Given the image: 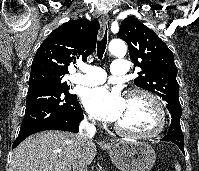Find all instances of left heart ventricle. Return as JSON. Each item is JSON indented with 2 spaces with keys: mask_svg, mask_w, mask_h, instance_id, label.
Here are the masks:
<instances>
[{
  "mask_svg": "<svg viewBox=\"0 0 199 171\" xmlns=\"http://www.w3.org/2000/svg\"><path fill=\"white\" fill-rule=\"evenodd\" d=\"M156 114L151 103L143 96L136 95L125 100L124 111L116 122L132 132H147L156 126Z\"/></svg>",
  "mask_w": 199,
  "mask_h": 171,
  "instance_id": "left-heart-ventricle-1",
  "label": "left heart ventricle"
}]
</instances>
